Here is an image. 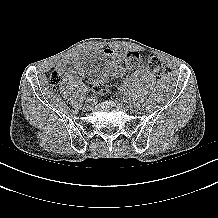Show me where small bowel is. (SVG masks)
<instances>
[{"label": "small bowel", "instance_id": "1", "mask_svg": "<svg viewBox=\"0 0 218 218\" xmlns=\"http://www.w3.org/2000/svg\"><path fill=\"white\" fill-rule=\"evenodd\" d=\"M134 52L104 49L96 52L97 56L102 57L104 63L111 68L125 64L128 56ZM85 56L80 53H72L58 61L56 68L61 74L85 75Z\"/></svg>", "mask_w": 218, "mask_h": 218}]
</instances>
